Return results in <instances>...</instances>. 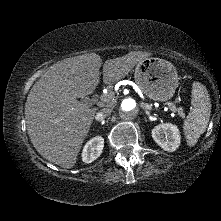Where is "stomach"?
Instances as JSON below:
<instances>
[{
	"instance_id": "0dacf381",
	"label": "stomach",
	"mask_w": 221,
	"mask_h": 221,
	"mask_svg": "<svg viewBox=\"0 0 221 221\" xmlns=\"http://www.w3.org/2000/svg\"><path fill=\"white\" fill-rule=\"evenodd\" d=\"M135 82L140 89L156 101L171 99L178 86V74L169 61L157 57H148L136 65Z\"/></svg>"
}]
</instances>
